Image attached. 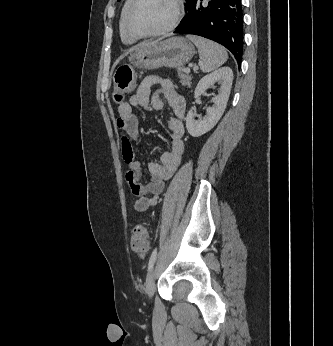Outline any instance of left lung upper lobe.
I'll return each instance as SVG.
<instances>
[{"instance_id":"left-lung-upper-lobe-1","label":"left lung upper lobe","mask_w":333,"mask_h":346,"mask_svg":"<svg viewBox=\"0 0 333 346\" xmlns=\"http://www.w3.org/2000/svg\"><path fill=\"white\" fill-rule=\"evenodd\" d=\"M190 0H186V4L189 2Z\"/></svg>"}]
</instances>
